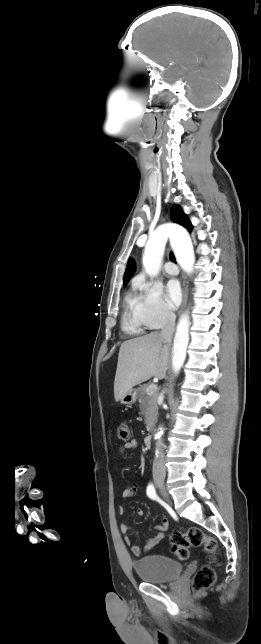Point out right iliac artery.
<instances>
[{"instance_id": "obj_1", "label": "right iliac artery", "mask_w": 261, "mask_h": 644, "mask_svg": "<svg viewBox=\"0 0 261 644\" xmlns=\"http://www.w3.org/2000/svg\"><path fill=\"white\" fill-rule=\"evenodd\" d=\"M146 493H147V496H148L149 498H151V499H153V500L157 499L156 490H155V487H154V485H153L152 483H150V484L147 486Z\"/></svg>"}]
</instances>
